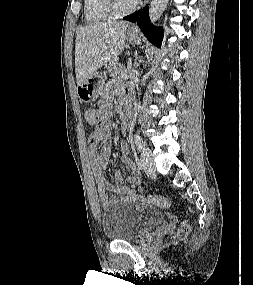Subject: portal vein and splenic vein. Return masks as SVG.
<instances>
[{"mask_svg":"<svg viewBox=\"0 0 253 285\" xmlns=\"http://www.w3.org/2000/svg\"><path fill=\"white\" fill-rule=\"evenodd\" d=\"M121 78H123V79H127V78H128L127 71H125V72H123V73L121 74Z\"/></svg>","mask_w":253,"mask_h":285,"instance_id":"portal-vein-and-splenic-vein-1","label":"portal vein and splenic vein"}]
</instances>
